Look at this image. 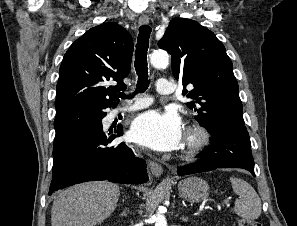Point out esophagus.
<instances>
[{
	"label": "esophagus",
	"instance_id": "esophagus-1",
	"mask_svg": "<svg viewBox=\"0 0 297 226\" xmlns=\"http://www.w3.org/2000/svg\"><path fill=\"white\" fill-rule=\"evenodd\" d=\"M138 23L139 25H147L149 24V19L147 17H140ZM148 166L154 176L160 177L163 174V168L159 163L153 160H149Z\"/></svg>",
	"mask_w": 297,
	"mask_h": 226
}]
</instances>
